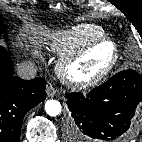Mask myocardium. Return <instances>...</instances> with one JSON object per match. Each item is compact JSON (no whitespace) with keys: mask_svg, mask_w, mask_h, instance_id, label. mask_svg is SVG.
I'll list each match as a JSON object with an SVG mask.
<instances>
[{"mask_svg":"<svg viewBox=\"0 0 142 142\" xmlns=\"http://www.w3.org/2000/svg\"><path fill=\"white\" fill-rule=\"evenodd\" d=\"M103 45L111 48V56L108 62L94 75L80 78L75 75L73 68L85 59L90 53ZM119 60V48L110 38L102 37L84 47L65 55L61 58L57 66V73L62 81L70 87L76 89H89L102 82L115 68Z\"/></svg>","mask_w":142,"mask_h":142,"instance_id":"myocardium-1","label":"myocardium"}]
</instances>
